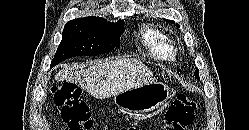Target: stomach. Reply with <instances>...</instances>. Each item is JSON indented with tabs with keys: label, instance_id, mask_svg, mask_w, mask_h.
<instances>
[{
	"label": "stomach",
	"instance_id": "0dacf381",
	"mask_svg": "<svg viewBox=\"0 0 249 130\" xmlns=\"http://www.w3.org/2000/svg\"><path fill=\"white\" fill-rule=\"evenodd\" d=\"M170 97L169 87L156 81L118 93L113 100L121 110L148 113L167 104Z\"/></svg>",
	"mask_w": 249,
	"mask_h": 130
}]
</instances>
